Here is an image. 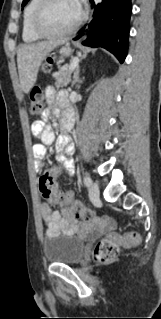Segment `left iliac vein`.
I'll use <instances>...</instances> for the list:
<instances>
[{"label": "left iliac vein", "mask_w": 161, "mask_h": 319, "mask_svg": "<svg viewBox=\"0 0 161 319\" xmlns=\"http://www.w3.org/2000/svg\"><path fill=\"white\" fill-rule=\"evenodd\" d=\"M89 195L91 199L96 200L99 198V187L96 183H92L89 187Z\"/></svg>", "instance_id": "4c4485c4"}]
</instances>
